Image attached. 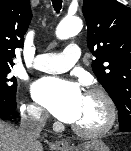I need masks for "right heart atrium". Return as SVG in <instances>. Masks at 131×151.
I'll return each instance as SVG.
<instances>
[{
  "label": "right heart atrium",
  "mask_w": 131,
  "mask_h": 151,
  "mask_svg": "<svg viewBox=\"0 0 131 151\" xmlns=\"http://www.w3.org/2000/svg\"><path fill=\"white\" fill-rule=\"evenodd\" d=\"M21 111L25 117L35 122H41L45 118L44 111L39 106L30 102H23Z\"/></svg>",
  "instance_id": "d8ad5b80"
}]
</instances>
